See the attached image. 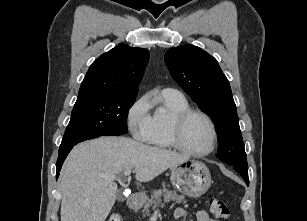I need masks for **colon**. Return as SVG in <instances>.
I'll return each mask as SVG.
<instances>
[{
    "instance_id": "5ec220e1",
    "label": "colon",
    "mask_w": 307,
    "mask_h": 221,
    "mask_svg": "<svg viewBox=\"0 0 307 221\" xmlns=\"http://www.w3.org/2000/svg\"><path fill=\"white\" fill-rule=\"evenodd\" d=\"M210 210L212 214L221 219H228L230 217V210L228 206L218 198L210 199ZM108 221H121L118 215H112Z\"/></svg>"
}]
</instances>
